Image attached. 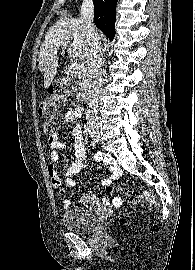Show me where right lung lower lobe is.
Listing matches in <instances>:
<instances>
[{"mask_svg":"<svg viewBox=\"0 0 195 270\" xmlns=\"http://www.w3.org/2000/svg\"><path fill=\"white\" fill-rule=\"evenodd\" d=\"M94 22L96 26L110 39L115 36V7L117 0H93Z\"/></svg>","mask_w":195,"mask_h":270,"instance_id":"obj_1","label":"right lung lower lobe"}]
</instances>
